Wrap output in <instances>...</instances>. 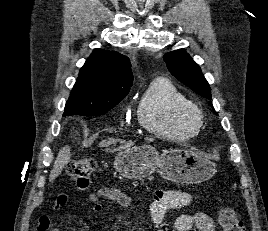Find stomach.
Instances as JSON below:
<instances>
[{
    "mask_svg": "<svg viewBox=\"0 0 268 231\" xmlns=\"http://www.w3.org/2000/svg\"><path fill=\"white\" fill-rule=\"evenodd\" d=\"M114 167L127 179H143L158 172L162 178L181 184L201 183L216 173V164L198 152L170 149L160 154L150 145L123 149Z\"/></svg>",
    "mask_w": 268,
    "mask_h": 231,
    "instance_id": "stomach-1",
    "label": "stomach"
}]
</instances>
